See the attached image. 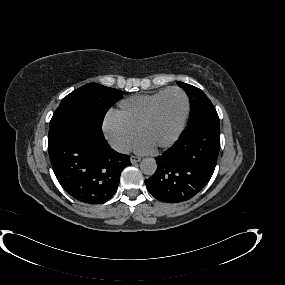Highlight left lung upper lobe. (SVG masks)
<instances>
[{
  "label": "left lung upper lobe",
  "mask_w": 285,
  "mask_h": 285,
  "mask_svg": "<svg viewBox=\"0 0 285 285\" xmlns=\"http://www.w3.org/2000/svg\"><path fill=\"white\" fill-rule=\"evenodd\" d=\"M177 84L184 89L190 99L189 123L203 113L215 111L213 104L202 90L183 82H177Z\"/></svg>",
  "instance_id": "left-lung-upper-lobe-1"
}]
</instances>
